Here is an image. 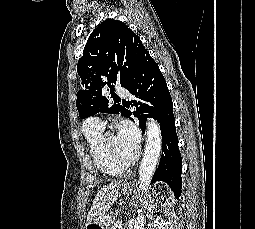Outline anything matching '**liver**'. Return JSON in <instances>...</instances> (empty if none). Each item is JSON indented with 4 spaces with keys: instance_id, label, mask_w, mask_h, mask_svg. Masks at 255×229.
Instances as JSON below:
<instances>
[{
    "instance_id": "liver-1",
    "label": "liver",
    "mask_w": 255,
    "mask_h": 229,
    "mask_svg": "<svg viewBox=\"0 0 255 229\" xmlns=\"http://www.w3.org/2000/svg\"><path fill=\"white\" fill-rule=\"evenodd\" d=\"M119 188L120 182H111L98 191L88 213L86 224L98 220L108 212L117 200Z\"/></svg>"
}]
</instances>
